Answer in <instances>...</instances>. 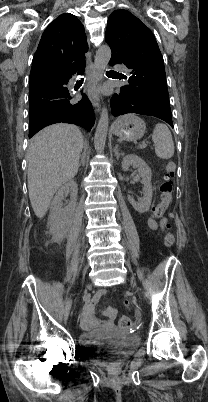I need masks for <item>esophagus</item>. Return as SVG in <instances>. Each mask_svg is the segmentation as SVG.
Instances as JSON below:
<instances>
[{"mask_svg": "<svg viewBox=\"0 0 208 402\" xmlns=\"http://www.w3.org/2000/svg\"><path fill=\"white\" fill-rule=\"evenodd\" d=\"M86 73H87V79H88V84H87V95L89 97V100L93 104L94 107L99 111L100 109V99L97 95V92L95 90L96 88V78H95V72H94V65L92 60L87 61L86 65Z\"/></svg>", "mask_w": 208, "mask_h": 402, "instance_id": "esophagus-1", "label": "esophagus"}]
</instances>
